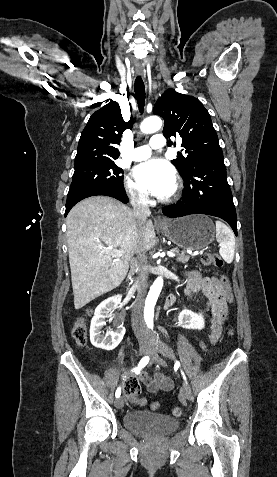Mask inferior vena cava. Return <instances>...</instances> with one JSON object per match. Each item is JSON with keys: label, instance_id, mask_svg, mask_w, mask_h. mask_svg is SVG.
<instances>
[{"label": "inferior vena cava", "instance_id": "602c4592", "mask_svg": "<svg viewBox=\"0 0 277 477\" xmlns=\"http://www.w3.org/2000/svg\"><path fill=\"white\" fill-rule=\"evenodd\" d=\"M149 198L145 194L135 192L131 194V205L133 207V214L137 218L139 225H143L150 216V209L148 206ZM145 255L141 254L139 258L140 268L139 275L136 281L138 295L134 304L132 312V328L138 340L148 336V328L143 316L144 300L148 288V266H146Z\"/></svg>", "mask_w": 277, "mask_h": 477}]
</instances>
